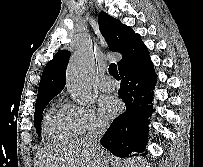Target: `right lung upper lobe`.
Wrapping results in <instances>:
<instances>
[{"label": "right lung upper lobe", "instance_id": "right-lung-upper-lobe-1", "mask_svg": "<svg viewBox=\"0 0 203 167\" xmlns=\"http://www.w3.org/2000/svg\"><path fill=\"white\" fill-rule=\"evenodd\" d=\"M100 30L109 48L122 54L119 72L131 69L149 57L148 49L131 27L123 25L105 12L98 16ZM70 52L61 50L45 66L38 89L37 102L59 94L65 86L66 68Z\"/></svg>", "mask_w": 203, "mask_h": 167}]
</instances>
